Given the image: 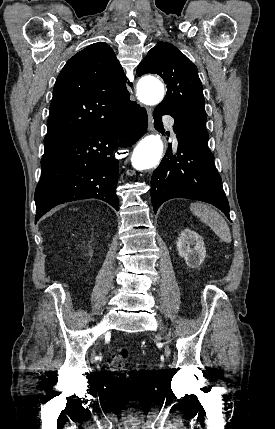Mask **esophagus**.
I'll return each instance as SVG.
<instances>
[{
	"label": "esophagus",
	"instance_id": "esophagus-1",
	"mask_svg": "<svg viewBox=\"0 0 275 429\" xmlns=\"http://www.w3.org/2000/svg\"><path fill=\"white\" fill-rule=\"evenodd\" d=\"M146 110H147V114H148V129L150 131H153L154 126H153L152 110H151V108H146Z\"/></svg>",
	"mask_w": 275,
	"mask_h": 429
}]
</instances>
